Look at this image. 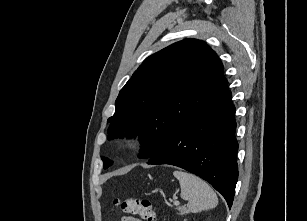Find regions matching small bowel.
<instances>
[{"label": "small bowel", "instance_id": "c3829d8e", "mask_svg": "<svg viewBox=\"0 0 307 221\" xmlns=\"http://www.w3.org/2000/svg\"><path fill=\"white\" fill-rule=\"evenodd\" d=\"M121 221H141L140 219L134 218V217H130V216H123L121 218Z\"/></svg>", "mask_w": 307, "mask_h": 221}]
</instances>
